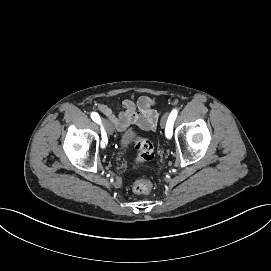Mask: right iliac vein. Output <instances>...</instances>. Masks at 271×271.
I'll use <instances>...</instances> for the list:
<instances>
[{
	"label": "right iliac vein",
	"mask_w": 271,
	"mask_h": 271,
	"mask_svg": "<svg viewBox=\"0 0 271 271\" xmlns=\"http://www.w3.org/2000/svg\"><path fill=\"white\" fill-rule=\"evenodd\" d=\"M102 124H103V127L105 128V130H106V132L108 134L113 133V127H112L111 123L108 120L103 119Z\"/></svg>",
	"instance_id": "right-iliac-vein-1"
}]
</instances>
